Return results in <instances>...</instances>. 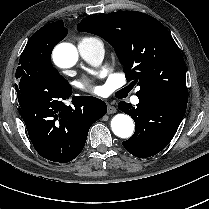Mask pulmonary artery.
I'll use <instances>...</instances> for the list:
<instances>
[{
    "label": "pulmonary artery",
    "mask_w": 209,
    "mask_h": 209,
    "mask_svg": "<svg viewBox=\"0 0 209 209\" xmlns=\"http://www.w3.org/2000/svg\"><path fill=\"white\" fill-rule=\"evenodd\" d=\"M78 52L81 58L92 65H99L105 54L104 46L101 41L96 39H86L78 43ZM130 101L137 105L140 103V99L136 95L130 97Z\"/></svg>",
    "instance_id": "pulmonary-artery-1"
}]
</instances>
